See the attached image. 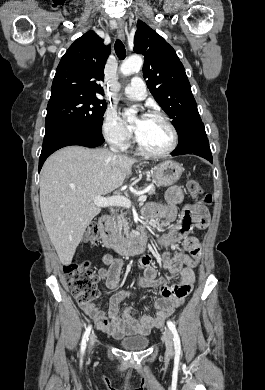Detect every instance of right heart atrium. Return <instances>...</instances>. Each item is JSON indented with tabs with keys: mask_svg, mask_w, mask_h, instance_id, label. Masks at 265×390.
I'll return each instance as SVG.
<instances>
[{
	"mask_svg": "<svg viewBox=\"0 0 265 390\" xmlns=\"http://www.w3.org/2000/svg\"><path fill=\"white\" fill-rule=\"evenodd\" d=\"M102 133L109 143L119 149H126L132 138L130 130L112 108H107L103 115Z\"/></svg>",
	"mask_w": 265,
	"mask_h": 390,
	"instance_id": "d8ad5b80",
	"label": "right heart atrium"
}]
</instances>
